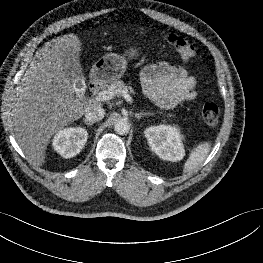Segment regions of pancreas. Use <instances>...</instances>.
Masks as SVG:
<instances>
[{
  "instance_id": "obj_1",
  "label": "pancreas",
  "mask_w": 263,
  "mask_h": 263,
  "mask_svg": "<svg viewBox=\"0 0 263 263\" xmlns=\"http://www.w3.org/2000/svg\"><path fill=\"white\" fill-rule=\"evenodd\" d=\"M109 91L113 92L114 95L121 96L123 92L134 93L133 89L129 86H126L123 81L116 80L111 82L109 85H105Z\"/></svg>"
}]
</instances>
